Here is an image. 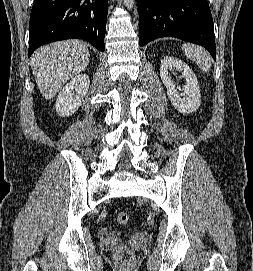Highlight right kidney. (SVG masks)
Masks as SVG:
<instances>
[{
  "label": "right kidney",
  "instance_id": "right-kidney-1",
  "mask_svg": "<svg viewBox=\"0 0 253 271\" xmlns=\"http://www.w3.org/2000/svg\"><path fill=\"white\" fill-rule=\"evenodd\" d=\"M90 85L89 76L79 74L65 85L56 100V112L68 117L76 112L86 96Z\"/></svg>",
  "mask_w": 253,
  "mask_h": 271
}]
</instances>
